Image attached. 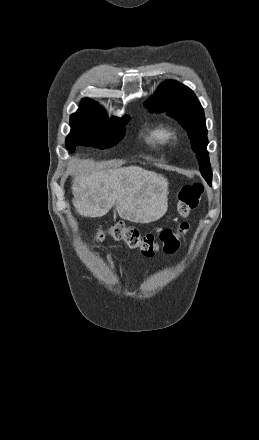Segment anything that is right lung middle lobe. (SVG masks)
Instances as JSON below:
<instances>
[{
	"instance_id": "1",
	"label": "right lung middle lobe",
	"mask_w": 259,
	"mask_h": 440,
	"mask_svg": "<svg viewBox=\"0 0 259 440\" xmlns=\"http://www.w3.org/2000/svg\"><path fill=\"white\" fill-rule=\"evenodd\" d=\"M103 109L81 107L70 116L71 132L66 137V146L73 152L78 145L92 146L99 149L116 145L124 136V124L128 117L103 121Z\"/></svg>"
}]
</instances>
